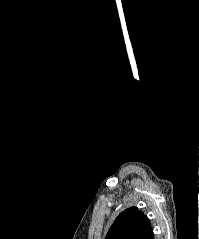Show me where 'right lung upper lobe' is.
Wrapping results in <instances>:
<instances>
[{
    "mask_svg": "<svg viewBox=\"0 0 199 239\" xmlns=\"http://www.w3.org/2000/svg\"><path fill=\"white\" fill-rule=\"evenodd\" d=\"M151 231L147 216L131 207L119 214L105 239H144Z\"/></svg>",
    "mask_w": 199,
    "mask_h": 239,
    "instance_id": "right-lung-upper-lobe-1",
    "label": "right lung upper lobe"
}]
</instances>
